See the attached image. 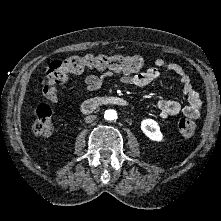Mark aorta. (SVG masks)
I'll use <instances>...</instances> for the list:
<instances>
[{"label": "aorta", "mask_w": 221, "mask_h": 221, "mask_svg": "<svg viewBox=\"0 0 221 221\" xmlns=\"http://www.w3.org/2000/svg\"><path fill=\"white\" fill-rule=\"evenodd\" d=\"M104 118L108 121L117 119V112L113 109L105 111Z\"/></svg>", "instance_id": "762f6f07"}]
</instances>
